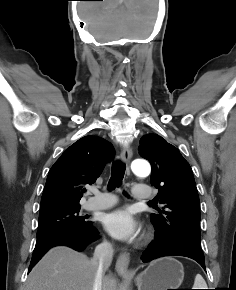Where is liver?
<instances>
[{"mask_svg": "<svg viewBox=\"0 0 236 290\" xmlns=\"http://www.w3.org/2000/svg\"><path fill=\"white\" fill-rule=\"evenodd\" d=\"M96 267L65 246L50 249L30 272L25 290H93ZM102 290H117L112 275L103 276Z\"/></svg>", "mask_w": 236, "mask_h": 290, "instance_id": "obj_1", "label": "liver"}]
</instances>
